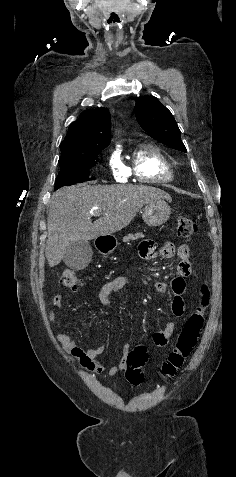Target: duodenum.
I'll return each mask as SVG.
<instances>
[{"instance_id": "duodenum-1", "label": "duodenum", "mask_w": 236, "mask_h": 477, "mask_svg": "<svg viewBox=\"0 0 236 477\" xmlns=\"http://www.w3.org/2000/svg\"><path fill=\"white\" fill-rule=\"evenodd\" d=\"M109 243H110L109 241L104 240V243L101 245V247L106 248Z\"/></svg>"}]
</instances>
